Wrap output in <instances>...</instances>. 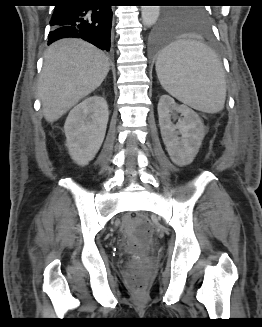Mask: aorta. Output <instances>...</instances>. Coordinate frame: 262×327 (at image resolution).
Wrapping results in <instances>:
<instances>
[{"label": "aorta", "mask_w": 262, "mask_h": 327, "mask_svg": "<svg viewBox=\"0 0 262 327\" xmlns=\"http://www.w3.org/2000/svg\"><path fill=\"white\" fill-rule=\"evenodd\" d=\"M159 14V6H142L141 8L142 22L146 27H151L154 25L159 17Z\"/></svg>", "instance_id": "1"}]
</instances>
